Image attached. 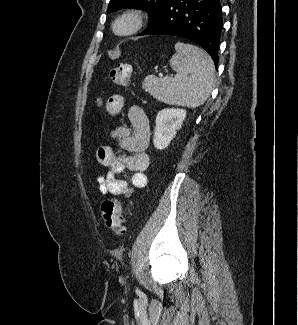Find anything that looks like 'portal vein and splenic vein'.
<instances>
[{"label":"portal vein and splenic vein","mask_w":298,"mask_h":325,"mask_svg":"<svg viewBox=\"0 0 298 325\" xmlns=\"http://www.w3.org/2000/svg\"><path fill=\"white\" fill-rule=\"evenodd\" d=\"M158 76H163L162 72H159Z\"/></svg>","instance_id":"obj_1"}]
</instances>
